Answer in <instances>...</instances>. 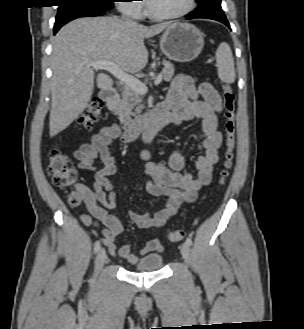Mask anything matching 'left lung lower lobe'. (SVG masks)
I'll use <instances>...</instances> for the list:
<instances>
[{"label": "left lung lower lobe", "mask_w": 304, "mask_h": 329, "mask_svg": "<svg viewBox=\"0 0 304 329\" xmlns=\"http://www.w3.org/2000/svg\"><path fill=\"white\" fill-rule=\"evenodd\" d=\"M199 7L189 13L187 19L206 18L219 21L225 24L228 28L230 25L221 8V0H200Z\"/></svg>", "instance_id": "1"}]
</instances>
